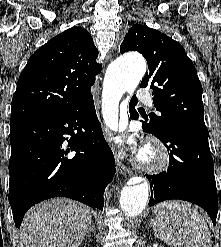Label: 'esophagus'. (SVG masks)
I'll list each match as a JSON object with an SVG mask.
<instances>
[{
  "mask_svg": "<svg viewBox=\"0 0 221 247\" xmlns=\"http://www.w3.org/2000/svg\"><path fill=\"white\" fill-rule=\"evenodd\" d=\"M104 134L106 136L107 141L112 143V133L107 128L104 129ZM112 150L114 152L115 159H116L117 171L124 173V174L132 175L133 173L132 170L128 168L126 165H124L121 160L123 153H119L113 146H112Z\"/></svg>",
  "mask_w": 221,
  "mask_h": 247,
  "instance_id": "obj_1",
  "label": "esophagus"
}]
</instances>
